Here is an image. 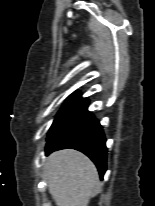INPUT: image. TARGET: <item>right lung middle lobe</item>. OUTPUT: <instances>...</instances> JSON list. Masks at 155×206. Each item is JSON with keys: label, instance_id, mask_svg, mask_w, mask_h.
I'll use <instances>...</instances> for the list:
<instances>
[{"label": "right lung middle lobe", "instance_id": "obj_1", "mask_svg": "<svg viewBox=\"0 0 155 206\" xmlns=\"http://www.w3.org/2000/svg\"><path fill=\"white\" fill-rule=\"evenodd\" d=\"M87 107V98H82L80 94L73 93L64 103L61 111L55 117L48 136L58 132L72 122L88 114L89 111L87 110Z\"/></svg>", "mask_w": 155, "mask_h": 206}]
</instances>
